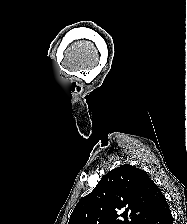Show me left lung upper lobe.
Instances as JSON below:
<instances>
[{"instance_id": "1", "label": "left lung upper lobe", "mask_w": 187, "mask_h": 224, "mask_svg": "<svg viewBox=\"0 0 187 224\" xmlns=\"http://www.w3.org/2000/svg\"><path fill=\"white\" fill-rule=\"evenodd\" d=\"M162 196L144 170L124 164L77 203L68 224H148Z\"/></svg>"}]
</instances>
